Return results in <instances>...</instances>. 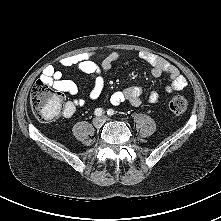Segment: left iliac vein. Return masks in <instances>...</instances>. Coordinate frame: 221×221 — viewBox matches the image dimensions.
<instances>
[{
	"label": "left iliac vein",
	"mask_w": 221,
	"mask_h": 221,
	"mask_svg": "<svg viewBox=\"0 0 221 221\" xmlns=\"http://www.w3.org/2000/svg\"><path fill=\"white\" fill-rule=\"evenodd\" d=\"M102 118H103L104 121H107V120H108V118L105 117V116H103Z\"/></svg>",
	"instance_id": "1"
}]
</instances>
